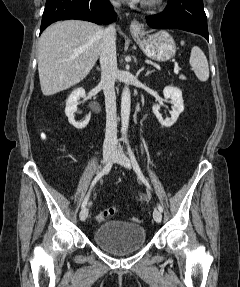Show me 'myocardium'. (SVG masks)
<instances>
[{"label":"myocardium","mask_w":240,"mask_h":287,"mask_svg":"<svg viewBox=\"0 0 240 287\" xmlns=\"http://www.w3.org/2000/svg\"><path fill=\"white\" fill-rule=\"evenodd\" d=\"M162 0H146L144 5L149 8L156 7Z\"/></svg>","instance_id":"1"}]
</instances>
